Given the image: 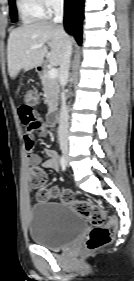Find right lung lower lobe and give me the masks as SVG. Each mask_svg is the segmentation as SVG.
<instances>
[{"mask_svg": "<svg viewBox=\"0 0 134 281\" xmlns=\"http://www.w3.org/2000/svg\"><path fill=\"white\" fill-rule=\"evenodd\" d=\"M84 0H65L64 25L67 33L73 35L77 42H82Z\"/></svg>", "mask_w": 134, "mask_h": 281, "instance_id": "1", "label": "right lung lower lobe"}]
</instances>
